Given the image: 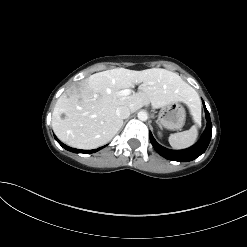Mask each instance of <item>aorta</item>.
Masks as SVG:
<instances>
[{
  "instance_id": "obj_1",
  "label": "aorta",
  "mask_w": 247,
  "mask_h": 247,
  "mask_svg": "<svg viewBox=\"0 0 247 247\" xmlns=\"http://www.w3.org/2000/svg\"><path fill=\"white\" fill-rule=\"evenodd\" d=\"M138 119L141 121H146L148 119V114L146 111H140L138 112Z\"/></svg>"
}]
</instances>
